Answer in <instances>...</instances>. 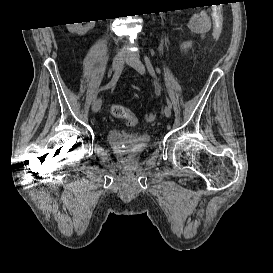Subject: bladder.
Returning a JSON list of instances; mask_svg holds the SVG:
<instances>
[{
	"mask_svg": "<svg viewBox=\"0 0 273 273\" xmlns=\"http://www.w3.org/2000/svg\"><path fill=\"white\" fill-rule=\"evenodd\" d=\"M106 140L112 154L123 161H133L141 157L150 147V136L143 133L109 129Z\"/></svg>",
	"mask_w": 273,
	"mask_h": 273,
	"instance_id": "obj_1",
	"label": "bladder"
}]
</instances>
